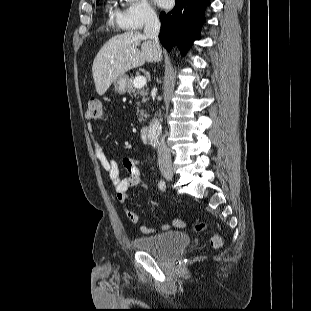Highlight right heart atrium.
Instances as JSON below:
<instances>
[{"mask_svg":"<svg viewBox=\"0 0 311 311\" xmlns=\"http://www.w3.org/2000/svg\"><path fill=\"white\" fill-rule=\"evenodd\" d=\"M116 14L117 24L127 31H138L157 20V13L147 0H125Z\"/></svg>","mask_w":311,"mask_h":311,"instance_id":"right-heart-atrium-1","label":"right heart atrium"}]
</instances>
